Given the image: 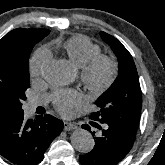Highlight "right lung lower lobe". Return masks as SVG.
Instances as JSON below:
<instances>
[{
	"instance_id": "obj_1",
	"label": "right lung lower lobe",
	"mask_w": 165,
	"mask_h": 165,
	"mask_svg": "<svg viewBox=\"0 0 165 165\" xmlns=\"http://www.w3.org/2000/svg\"><path fill=\"white\" fill-rule=\"evenodd\" d=\"M63 130V122L49 114L25 120L24 112L0 120V155L16 165H36L53 139Z\"/></svg>"
}]
</instances>
